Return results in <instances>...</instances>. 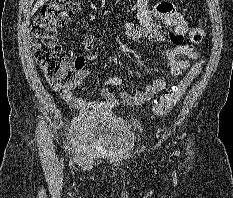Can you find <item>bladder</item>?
I'll return each instance as SVG.
<instances>
[{
  "label": "bladder",
  "mask_w": 233,
  "mask_h": 198,
  "mask_svg": "<svg viewBox=\"0 0 233 198\" xmlns=\"http://www.w3.org/2000/svg\"><path fill=\"white\" fill-rule=\"evenodd\" d=\"M139 132L137 123H127L113 113L90 112L74 119L71 140L86 154H122L133 148Z\"/></svg>",
  "instance_id": "obj_1"
}]
</instances>
